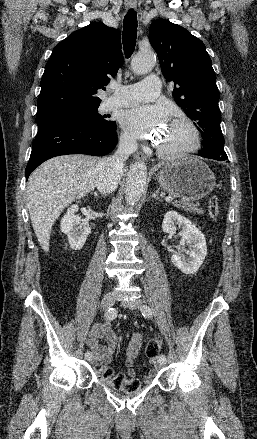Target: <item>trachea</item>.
Wrapping results in <instances>:
<instances>
[{
    "instance_id": "1",
    "label": "trachea",
    "mask_w": 257,
    "mask_h": 439,
    "mask_svg": "<svg viewBox=\"0 0 257 439\" xmlns=\"http://www.w3.org/2000/svg\"><path fill=\"white\" fill-rule=\"evenodd\" d=\"M137 37V15L132 9H129L124 17L123 23V49L127 58H129L136 45Z\"/></svg>"
}]
</instances>
